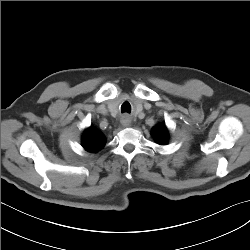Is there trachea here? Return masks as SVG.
Instances as JSON below:
<instances>
[{"mask_svg": "<svg viewBox=\"0 0 250 250\" xmlns=\"http://www.w3.org/2000/svg\"><path fill=\"white\" fill-rule=\"evenodd\" d=\"M131 110V106L128 103H123L122 107H121V111H127L129 112Z\"/></svg>", "mask_w": 250, "mask_h": 250, "instance_id": "1", "label": "trachea"}]
</instances>
